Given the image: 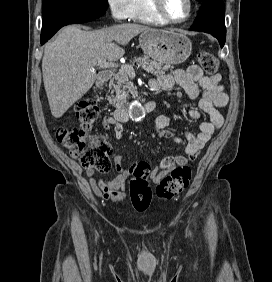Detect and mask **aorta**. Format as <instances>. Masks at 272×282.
Listing matches in <instances>:
<instances>
[{"mask_svg":"<svg viewBox=\"0 0 272 282\" xmlns=\"http://www.w3.org/2000/svg\"><path fill=\"white\" fill-rule=\"evenodd\" d=\"M132 113H133V118L136 121H139L142 118V112L138 102L133 103Z\"/></svg>","mask_w":272,"mask_h":282,"instance_id":"1","label":"aorta"}]
</instances>
